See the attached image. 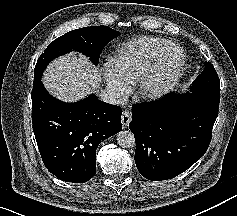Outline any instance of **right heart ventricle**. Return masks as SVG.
<instances>
[{
  "label": "right heart ventricle",
  "mask_w": 237,
  "mask_h": 216,
  "mask_svg": "<svg viewBox=\"0 0 237 216\" xmlns=\"http://www.w3.org/2000/svg\"><path fill=\"white\" fill-rule=\"evenodd\" d=\"M168 41L164 38L143 36L121 42L108 55L109 68L119 75V81L135 84L142 70L155 60V52Z\"/></svg>",
  "instance_id": "obj_1"
}]
</instances>
